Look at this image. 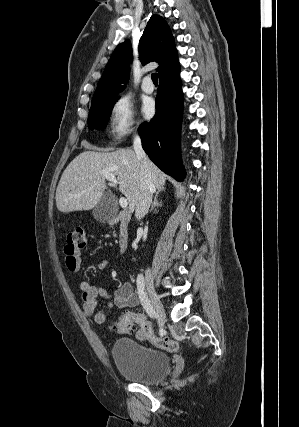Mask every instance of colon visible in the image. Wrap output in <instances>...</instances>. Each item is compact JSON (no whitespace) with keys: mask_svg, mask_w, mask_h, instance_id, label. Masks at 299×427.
Segmentation results:
<instances>
[{"mask_svg":"<svg viewBox=\"0 0 299 427\" xmlns=\"http://www.w3.org/2000/svg\"><path fill=\"white\" fill-rule=\"evenodd\" d=\"M85 232L81 227H77L67 234V245L64 250L70 254L75 253L85 245ZM145 335H151L152 330L149 326V321L145 319L140 313L128 312L123 314L120 319L113 325V328L118 333H131L134 332L136 326ZM153 343L166 351L175 352L178 350V343L168 337L153 336Z\"/></svg>","mask_w":299,"mask_h":427,"instance_id":"1","label":"colon"}]
</instances>
